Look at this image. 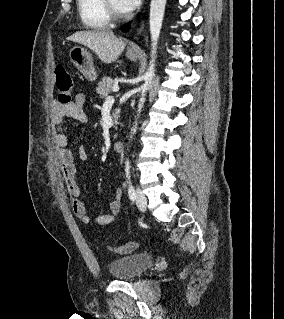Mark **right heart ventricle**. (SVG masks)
<instances>
[{
	"mask_svg": "<svg viewBox=\"0 0 284 319\" xmlns=\"http://www.w3.org/2000/svg\"><path fill=\"white\" fill-rule=\"evenodd\" d=\"M78 12L82 23L90 29H105L110 25L104 0H77Z\"/></svg>",
	"mask_w": 284,
	"mask_h": 319,
	"instance_id": "right-heart-ventricle-1",
	"label": "right heart ventricle"
}]
</instances>
